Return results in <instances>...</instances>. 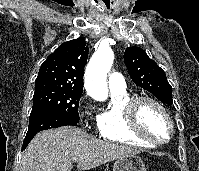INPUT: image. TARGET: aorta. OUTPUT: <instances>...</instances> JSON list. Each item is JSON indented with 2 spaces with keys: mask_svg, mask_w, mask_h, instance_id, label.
Wrapping results in <instances>:
<instances>
[{
  "mask_svg": "<svg viewBox=\"0 0 199 171\" xmlns=\"http://www.w3.org/2000/svg\"><path fill=\"white\" fill-rule=\"evenodd\" d=\"M114 60L110 48L100 47L90 59L85 71V88L89 96L98 101L108 98L107 73Z\"/></svg>",
  "mask_w": 199,
  "mask_h": 171,
  "instance_id": "1",
  "label": "aorta"
}]
</instances>
